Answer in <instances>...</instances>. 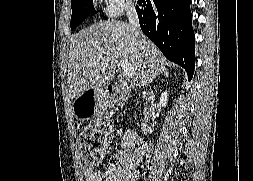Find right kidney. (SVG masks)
<instances>
[{
	"label": "right kidney",
	"instance_id": "obj_1",
	"mask_svg": "<svg viewBox=\"0 0 253 181\" xmlns=\"http://www.w3.org/2000/svg\"><path fill=\"white\" fill-rule=\"evenodd\" d=\"M167 101H168V92L165 91L161 94V97H160V105L162 107H166L167 106Z\"/></svg>",
	"mask_w": 253,
	"mask_h": 181
}]
</instances>
